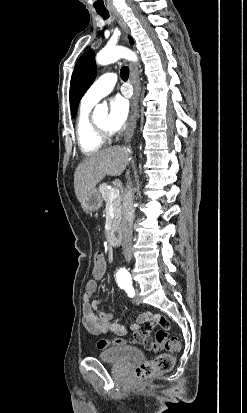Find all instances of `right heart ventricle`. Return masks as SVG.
Returning a JSON list of instances; mask_svg holds the SVG:
<instances>
[{"mask_svg":"<svg viewBox=\"0 0 247 413\" xmlns=\"http://www.w3.org/2000/svg\"><path fill=\"white\" fill-rule=\"evenodd\" d=\"M91 106H84L78 119L76 134L81 152L86 156H93L101 152L103 141L98 137L94 123L88 116Z\"/></svg>","mask_w":247,"mask_h":413,"instance_id":"obj_1","label":"right heart ventricle"}]
</instances>
